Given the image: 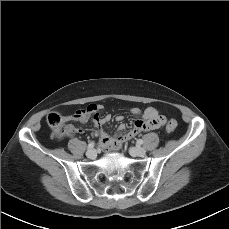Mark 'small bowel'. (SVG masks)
<instances>
[{
  "label": "small bowel",
  "mask_w": 229,
  "mask_h": 229,
  "mask_svg": "<svg viewBox=\"0 0 229 229\" xmlns=\"http://www.w3.org/2000/svg\"><path fill=\"white\" fill-rule=\"evenodd\" d=\"M149 109L145 111H141L139 108H132L130 110V113L136 118L133 127L125 134L121 135L119 138L114 139L112 135H110L106 130L105 126L110 122L111 116L105 115V116H99L97 114L91 116L90 114L84 113L83 110H78L74 112L72 115L68 117L70 120L79 121L81 123H87L90 119L92 124L100 129V139H99V145L102 148H106L109 146H112L114 143L121 144L126 140H130L134 138L137 134L144 131H149L150 127H148V112ZM142 118V119H141ZM124 117L122 115H117L115 117V120L117 122H122ZM125 130V125L120 124L118 126V131L122 132ZM83 130L81 128H74L73 126H69L67 129L68 134H72L74 132L81 133Z\"/></svg>",
  "instance_id": "obj_1"
}]
</instances>
